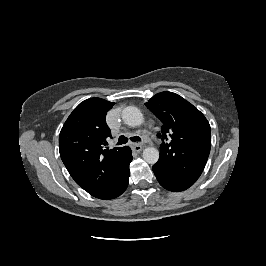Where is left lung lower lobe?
<instances>
[{
	"label": "left lung lower lobe",
	"mask_w": 266,
	"mask_h": 266,
	"mask_svg": "<svg viewBox=\"0 0 266 266\" xmlns=\"http://www.w3.org/2000/svg\"><path fill=\"white\" fill-rule=\"evenodd\" d=\"M152 169L160 185L170 191L179 192L186 190L196 182L195 179L173 176L157 164L153 165Z\"/></svg>",
	"instance_id": "obj_1"
}]
</instances>
